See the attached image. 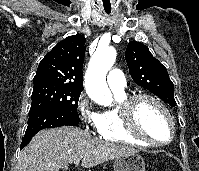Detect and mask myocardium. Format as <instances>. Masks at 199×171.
I'll return each mask as SVG.
<instances>
[{
    "label": "myocardium",
    "mask_w": 199,
    "mask_h": 171,
    "mask_svg": "<svg viewBox=\"0 0 199 171\" xmlns=\"http://www.w3.org/2000/svg\"><path fill=\"white\" fill-rule=\"evenodd\" d=\"M142 100H149L153 102L164 112L171 127L170 137L167 141L158 142L152 140L147 135H145L139 128L137 121V108ZM120 111L122 113L124 127L126 131L132 136L138 138L139 140L149 144L150 146L161 147L171 143L174 140L176 135V127L173 116L167 106L156 96L148 93H136L127 96L120 105Z\"/></svg>",
    "instance_id": "obj_1"
}]
</instances>
